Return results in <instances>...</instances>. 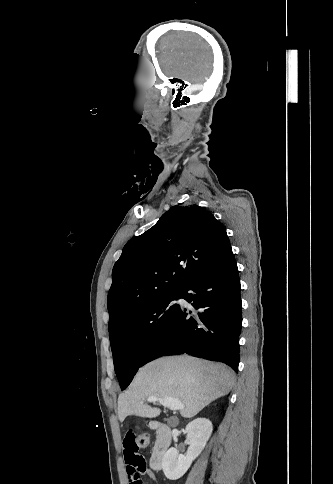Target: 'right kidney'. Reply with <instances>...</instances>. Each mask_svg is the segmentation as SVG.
<instances>
[{
    "mask_svg": "<svg viewBox=\"0 0 333 484\" xmlns=\"http://www.w3.org/2000/svg\"><path fill=\"white\" fill-rule=\"evenodd\" d=\"M213 426L210 420L197 418L186 426L189 448L186 456L179 455L170 448L163 456L162 469L167 479L177 480L190 468L192 462L201 454L209 440Z\"/></svg>",
    "mask_w": 333,
    "mask_h": 484,
    "instance_id": "ca27d5eb",
    "label": "right kidney"
}]
</instances>
